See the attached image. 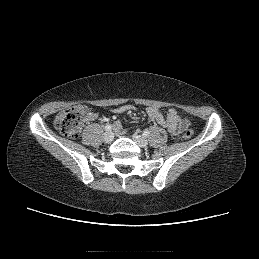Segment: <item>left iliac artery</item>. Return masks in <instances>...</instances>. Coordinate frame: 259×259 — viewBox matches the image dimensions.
Instances as JSON below:
<instances>
[{
  "label": "left iliac artery",
  "instance_id": "left-iliac-artery-1",
  "mask_svg": "<svg viewBox=\"0 0 259 259\" xmlns=\"http://www.w3.org/2000/svg\"><path fill=\"white\" fill-rule=\"evenodd\" d=\"M150 134V132L148 131V130H145L144 132H143V135L144 136H148Z\"/></svg>",
  "mask_w": 259,
  "mask_h": 259
}]
</instances>
